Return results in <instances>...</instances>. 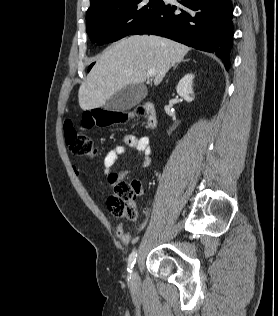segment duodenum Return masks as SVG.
<instances>
[{"instance_id": "obj_1", "label": "duodenum", "mask_w": 278, "mask_h": 316, "mask_svg": "<svg viewBox=\"0 0 278 316\" xmlns=\"http://www.w3.org/2000/svg\"><path fill=\"white\" fill-rule=\"evenodd\" d=\"M146 117V124L150 129H154L157 126V113L153 103L146 102L143 105Z\"/></svg>"}]
</instances>
